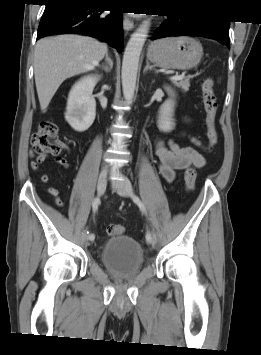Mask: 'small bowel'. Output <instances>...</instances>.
Returning <instances> with one entry per match:
<instances>
[{
  "instance_id": "small-bowel-1",
  "label": "small bowel",
  "mask_w": 261,
  "mask_h": 355,
  "mask_svg": "<svg viewBox=\"0 0 261 355\" xmlns=\"http://www.w3.org/2000/svg\"><path fill=\"white\" fill-rule=\"evenodd\" d=\"M190 141L197 147H202V143L196 137H190ZM155 153L158 157V170L161 176L167 182H173L176 178V172L179 170H184L190 166L196 168H202L206 164L204 156L194 147H183L180 146L175 140L171 139L168 141L158 139L155 143ZM31 157H34L31 153ZM45 158H34L30 167L33 171H37ZM56 162L62 167H68V162L63 157H57ZM50 177L48 175H43L41 181L44 183L49 182ZM49 192L53 195H57V190L55 188H50Z\"/></svg>"
}]
</instances>
